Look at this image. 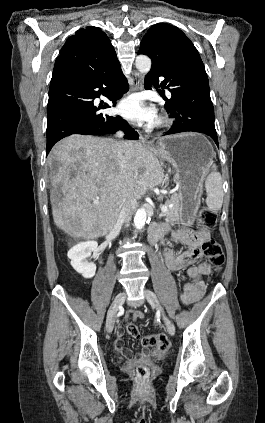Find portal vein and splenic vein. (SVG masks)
I'll use <instances>...</instances> for the list:
<instances>
[{
  "mask_svg": "<svg viewBox=\"0 0 265 423\" xmlns=\"http://www.w3.org/2000/svg\"><path fill=\"white\" fill-rule=\"evenodd\" d=\"M93 204L94 205H98L99 204V200L98 199H94L93 200ZM168 210V207L166 205H162L161 206V211L162 213H165Z\"/></svg>",
  "mask_w": 265,
  "mask_h": 423,
  "instance_id": "18ae733b",
  "label": "portal vein and splenic vein"
}]
</instances>
